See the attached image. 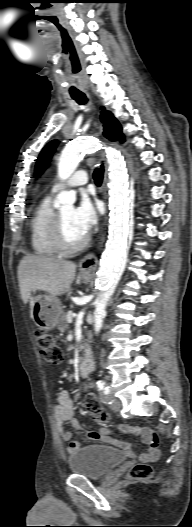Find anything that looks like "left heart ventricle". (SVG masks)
<instances>
[{
  "label": "left heart ventricle",
  "instance_id": "1",
  "mask_svg": "<svg viewBox=\"0 0 192 527\" xmlns=\"http://www.w3.org/2000/svg\"><path fill=\"white\" fill-rule=\"evenodd\" d=\"M73 212L74 209L72 207H67L59 212L65 239L69 244H77L86 236L75 224Z\"/></svg>",
  "mask_w": 192,
  "mask_h": 527
}]
</instances>
